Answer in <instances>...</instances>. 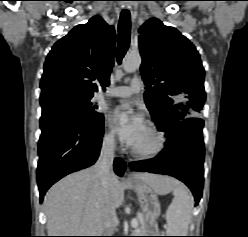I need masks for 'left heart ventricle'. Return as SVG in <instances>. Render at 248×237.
<instances>
[{
    "mask_svg": "<svg viewBox=\"0 0 248 237\" xmlns=\"http://www.w3.org/2000/svg\"><path fill=\"white\" fill-rule=\"evenodd\" d=\"M155 144V139L152 133L146 128L139 140L133 146L138 150H148L151 149Z\"/></svg>",
    "mask_w": 248,
    "mask_h": 237,
    "instance_id": "b2bd125f",
    "label": "left heart ventricle"
}]
</instances>
